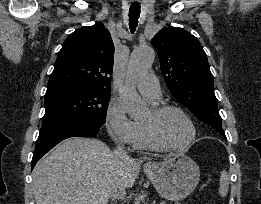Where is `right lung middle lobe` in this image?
I'll list each match as a JSON object with an SVG mask.
<instances>
[{"label":"right lung middle lobe","instance_id":"1","mask_svg":"<svg viewBox=\"0 0 261 204\" xmlns=\"http://www.w3.org/2000/svg\"><path fill=\"white\" fill-rule=\"evenodd\" d=\"M111 91L96 89L64 90L45 94L42 126L70 120L106 121Z\"/></svg>","mask_w":261,"mask_h":204}]
</instances>
